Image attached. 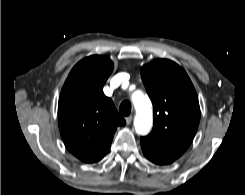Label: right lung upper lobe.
Segmentation results:
<instances>
[{"label":"right lung upper lobe","mask_w":245,"mask_h":195,"mask_svg":"<svg viewBox=\"0 0 245 195\" xmlns=\"http://www.w3.org/2000/svg\"><path fill=\"white\" fill-rule=\"evenodd\" d=\"M113 70L110 59L93 55L79 61L62 88L58 103L59 129L66 148L85 163L101 160L118 126L126 121L103 85Z\"/></svg>","instance_id":"cb5924a9"}]
</instances>
